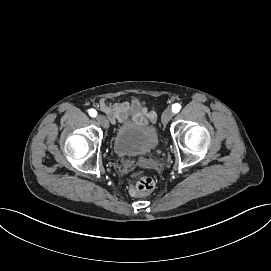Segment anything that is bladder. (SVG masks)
Masks as SVG:
<instances>
[{
	"instance_id": "bladder-1",
	"label": "bladder",
	"mask_w": 271,
	"mask_h": 271,
	"mask_svg": "<svg viewBox=\"0 0 271 271\" xmlns=\"http://www.w3.org/2000/svg\"><path fill=\"white\" fill-rule=\"evenodd\" d=\"M158 141L152 126H142L132 120L115 133L113 146L118 156L146 155L159 149Z\"/></svg>"
}]
</instances>
